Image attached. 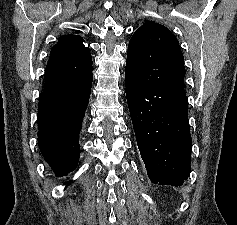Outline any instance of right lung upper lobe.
<instances>
[{"mask_svg":"<svg viewBox=\"0 0 237 225\" xmlns=\"http://www.w3.org/2000/svg\"><path fill=\"white\" fill-rule=\"evenodd\" d=\"M83 38L63 35L51 50L44 91L72 90L93 79L92 57Z\"/></svg>","mask_w":237,"mask_h":225,"instance_id":"1","label":"right lung upper lobe"}]
</instances>
